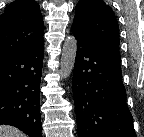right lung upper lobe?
<instances>
[{
	"mask_svg": "<svg viewBox=\"0 0 144 137\" xmlns=\"http://www.w3.org/2000/svg\"><path fill=\"white\" fill-rule=\"evenodd\" d=\"M44 24L34 0H15L0 16V61L43 39Z\"/></svg>",
	"mask_w": 144,
	"mask_h": 137,
	"instance_id": "cb5924a9",
	"label": "right lung upper lobe"
}]
</instances>
